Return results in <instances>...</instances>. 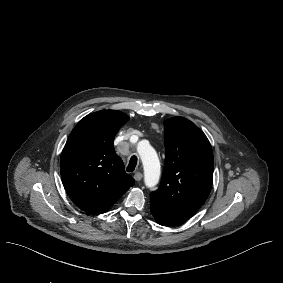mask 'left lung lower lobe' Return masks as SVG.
Instances as JSON below:
<instances>
[{
    "instance_id": "left-lung-lower-lobe-1",
    "label": "left lung lower lobe",
    "mask_w": 283,
    "mask_h": 283,
    "mask_svg": "<svg viewBox=\"0 0 283 283\" xmlns=\"http://www.w3.org/2000/svg\"><path fill=\"white\" fill-rule=\"evenodd\" d=\"M150 210L157 223L163 226L181 224L197 211L196 209L169 204L152 196H150Z\"/></svg>"
}]
</instances>
